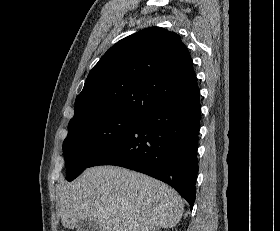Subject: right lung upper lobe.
Segmentation results:
<instances>
[{
  "label": "right lung upper lobe",
  "mask_w": 280,
  "mask_h": 231,
  "mask_svg": "<svg viewBox=\"0 0 280 231\" xmlns=\"http://www.w3.org/2000/svg\"><path fill=\"white\" fill-rule=\"evenodd\" d=\"M200 93L192 58L181 38L160 27L112 46L90 71L71 119L143 117L165 103Z\"/></svg>",
  "instance_id": "obj_1"
}]
</instances>
